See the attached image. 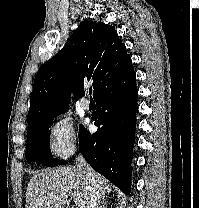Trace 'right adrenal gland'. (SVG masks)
Here are the masks:
<instances>
[{
    "label": "right adrenal gland",
    "instance_id": "1",
    "mask_svg": "<svg viewBox=\"0 0 199 208\" xmlns=\"http://www.w3.org/2000/svg\"><path fill=\"white\" fill-rule=\"evenodd\" d=\"M101 208H106V203L105 202L102 204Z\"/></svg>",
    "mask_w": 199,
    "mask_h": 208
}]
</instances>
